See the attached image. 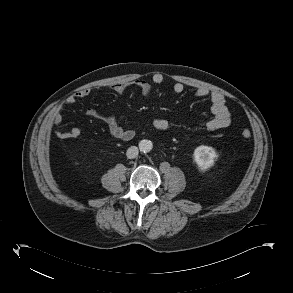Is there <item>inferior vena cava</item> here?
Returning <instances> with one entry per match:
<instances>
[{
    "label": "inferior vena cava",
    "mask_w": 293,
    "mask_h": 293,
    "mask_svg": "<svg viewBox=\"0 0 293 293\" xmlns=\"http://www.w3.org/2000/svg\"><path fill=\"white\" fill-rule=\"evenodd\" d=\"M139 150L136 146H131L128 148L127 152H126V156L129 159H133L135 157L138 156Z\"/></svg>",
    "instance_id": "inferior-vena-cava-1"
}]
</instances>
